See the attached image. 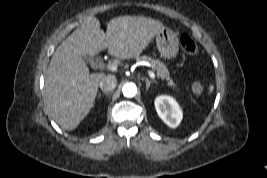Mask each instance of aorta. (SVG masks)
<instances>
[{
    "mask_svg": "<svg viewBox=\"0 0 267 178\" xmlns=\"http://www.w3.org/2000/svg\"><path fill=\"white\" fill-rule=\"evenodd\" d=\"M122 93L127 98H132L137 93V87L134 83H126L122 87Z\"/></svg>",
    "mask_w": 267,
    "mask_h": 178,
    "instance_id": "aorta-1",
    "label": "aorta"
}]
</instances>
